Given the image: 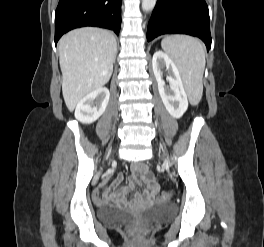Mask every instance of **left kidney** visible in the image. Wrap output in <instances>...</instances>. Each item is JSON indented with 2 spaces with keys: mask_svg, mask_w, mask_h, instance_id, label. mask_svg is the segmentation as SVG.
Returning <instances> with one entry per match:
<instances>
[{
  "mask_svg": "<svg viewBox=\"0 0 264 247\" xmlns=\"http://www.w3.org/2000/svg\"><path fill=\"white\" fill-rule=\"evenodd\" d=\"M152 67L158 83L159 94L166 110L174 118L182 117L188 108V97L175 63L163 51H156L153 55ZM164 67L169 74L167 77L169 86H166L162 79L161 70Z\"/></svg>",
  "mask_w": 264,
  "mask_h": 247,
  "instance_id": "5707ae66",
  "label": "left kidney"
}]
</instances>
